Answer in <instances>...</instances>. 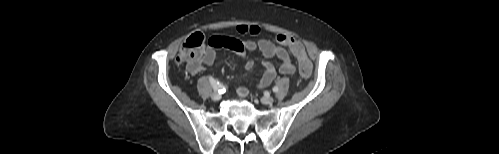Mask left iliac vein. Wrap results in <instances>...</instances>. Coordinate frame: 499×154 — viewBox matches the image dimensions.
I'll return each instance as SVG.
<instances>
[{"label":"left iliac vein","instance_id":"4c4485c4","mask_svg":"<svg viewBox=\"0 0 499 154\" xmlns=\"http://www.w3.org/2000/svg\"><path fill=\"white\" fill-rule=\"evenodd\" d=\"M273 101H274V98L270 95H267V96H264L261 98V102L263 104H266V105L272 104Z\"/></svg>","mask_w":499,"mask_h":154}]
</instances>
